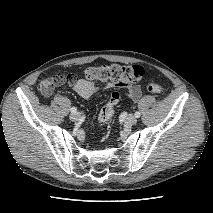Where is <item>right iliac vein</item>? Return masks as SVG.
I'll return each mask as SVG.
<instances>
[{"label": "right iliac vein", "mask_w": 213, "mask_h": 213, "mask_svg": "<svg viewBox=\"0 0 213 213\" xmlns=\"http://www.w3.org/2000/svg\"><path fill=\"white\" fill-rule=\"evenodd\" d=\"M69 118H70V120H72V121H78L79 118H80V114L77 113V112H76V113H72V114H70Z\"/></svg>", "instance_id": "obj_1"}]
</instances>
